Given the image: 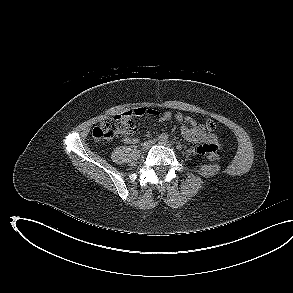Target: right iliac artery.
Returning a JSON list of instances; mask_svg holds the SVG:
<instances>
[{
  "label": "right iliac artery",
  "instance_id": "1",
  "mask_svg": "<svg viewBox=\"0 0 293 293\" xmlns=\"http://www.w3.org/2000/svg\"><path fill=\"white\" fill-rule=\"evenodd\" d=\"M168 135L166 133H162L158 136V140L167 141Z\"/></svg>",
  "mask_w": 293,
  "mask_h": 293
}]
</instances>
